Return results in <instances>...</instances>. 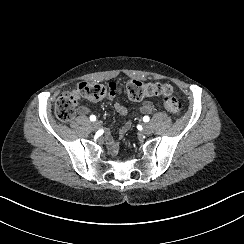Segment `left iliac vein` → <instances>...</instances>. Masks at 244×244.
Instances as JSON below:
<instances>
[{
  "label": "left iliac vein",
  "mask_w": 244,
  "mask_h": 244,
  "mask_svg": "<svg viewBox=\"0 0 244 244\" xmlns=\"http://www.w3.org/2000/svg\"><path fill=\"white\" fill-rule=\"evenodd\" d=\"M142 133L146 135L151 133V127L148 123L143 124Z\"/></svg>",
  "instance_id": "left-iliac-vein-1"
}]
</instances>
